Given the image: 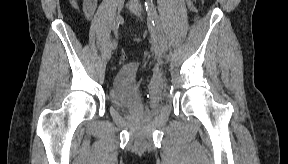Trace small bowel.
<instances>
[{
    "label": "small bowel",
    "instance_id": "1",
    "mask_svg": "<svg viewBox=\"0 0 288 164\" xmlns=\"http://www.w3.org/2000/svg\"><path fill=\"white\" fill-rule=\"evenodd\" d=\"M97 7V2L96 0H86L83 4V11H84V15L85 17L90 20L96 10Z\"/></svg>",
    "mask_w": 288,
    "mask_h": 164
}]
</instances>
